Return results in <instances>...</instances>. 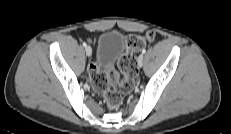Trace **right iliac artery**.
I'll list each match as a JSON object with an SVG mask.
<instances>
[{
	"label": "right iliac artery",
	"mask_w": 231,
	"mask_h": 134,
	"mask_svg": "<svg viewBox=\"0 0 231 134\" xmlns=\"http://www.w3.org/2000/svg\"><path fill=\"white\" fill-rule=\"evenodd\" d=\"M83 46H84V47H86V46H87V44H86L85 42H83Z\"/></svg>",
	"instance_id": "right-iliac-artery-1"
}]
</instances>
